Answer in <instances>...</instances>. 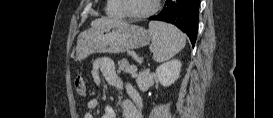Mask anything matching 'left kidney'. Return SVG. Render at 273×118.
Wrapping results in <instances>:
<instances>
[{
	"label": "left kidney",
	"instance_id": "5707ae66",
	"mask_svg": "<svg viewBox=\"0 0 273 118\" xmlns=\"http://www.w3.org/2000/svg\"><path fill=\"white\" fill-rule=\"evenodd\" d=\"M181 66V62L177 59L161 64L156 69V77L161 85L168 87L175 83L180 76Z\"/></svg>",
	"mask_w": 273,
	"mask_h": 118
}]
</instances>
